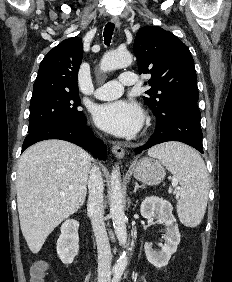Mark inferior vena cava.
Segmentation results:
<instances>
[{
	"mask_svg": "<svg viewBox=\"0 0 232 282\" xmlns=\"http://www.w3.org/2000/svg\"><path fill=\"white\" fill-rule=\"evenodd\" d=\"M87 212L90 216L97 243L99 282H110L111 251L103 220V179L97 166H92L88 179Z\"/></svg>",
	"mask_w": 232,
	"mask_h": 282,
	"instance_id": "obj_1",
	"label": "inferior vena cava"
}]
</instances>
